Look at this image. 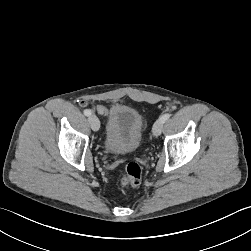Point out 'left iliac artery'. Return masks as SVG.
Returning <instances> with one entry per match:
<instances>
[{"mask_svg": "<svg viewBox=\"0 0 251 251\" xmlns=\"http://www.w3.org/2000/svg\"><path fill=\"white\" fill-rule=\"evenodd\" d=\"M170 116L171 115L169 113H166V114L162 115L160 119L164 123V122H166L170 118Z\"/></svg>", "mask_w": 251, "mask_h": 251, "instance_id": "44dca946", "label": "left iliac artery"}]
</instances>
